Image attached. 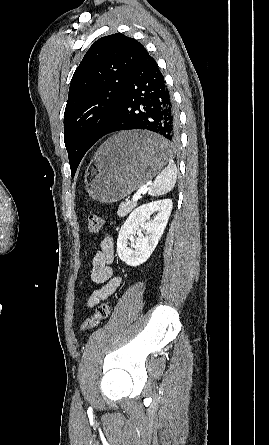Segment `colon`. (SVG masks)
Returning <instances> with one entry per match:
<instances>
[{
  "label": "colon",
  "instance_id": "5ec220e1",
  "mask_svg": "<svg viewBox=\"0 0 269 445\" xmlns=\"http://www.w3.org/2000/svg\"><path fill=\"white\" fill-rule=\"evenodd\" d=\"M104 225L103 218L98 214H90L88 217V230L91 233H98ZM110 305L103 303L96 308L94 314L88 316L80 325V331H88L95 329L101 321L107 318L110 313Z\"/></svg>",
  "mask_w": 269,
  "mask_h": 445
}]
</instances>
